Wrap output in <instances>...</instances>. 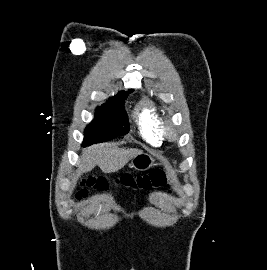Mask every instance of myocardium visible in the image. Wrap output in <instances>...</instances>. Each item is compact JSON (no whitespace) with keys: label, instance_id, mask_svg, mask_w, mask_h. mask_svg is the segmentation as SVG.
<instances>
[{"label":"myocardium","instance_id":"f54148a6","mask_svg":"<svg viewBox=\"0 0 267 270\" xmlns=\"http://www.w3.org/2000/svg\"><path fill=\"white\" fill-rule=\"evenodd\" d=\"M161 132L169 140H174L178 137L176 125L168 118L161 119Z\"/></svg>","mask_w":267,"mask_h":270}]
</instances>
